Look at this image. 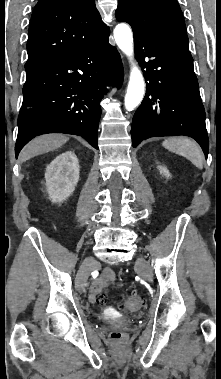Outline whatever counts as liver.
Listing matches in <instances>:
<instances>
[{"instance_id":"liver-1","label":"liver","mask_w":221,"mask_h":379,"mask_svg":"<svg viewBox=\"0 0 221 379\" xmlns=\"http://www.w3.org/2000/svg\"><path fill=\"white\" fill-rule=\"evenodd\" d=\"M69 140V137L63 134H45L34 138L20 153L22 162L30 158L53 151Z\"/></svg>"}]
</instances>
